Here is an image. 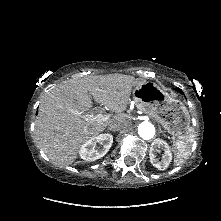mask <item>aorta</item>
<instances>
[{"label":"aorta","mask_w":221,"mask_h":221,"mask_svg":"<svg viewBox=\"0 0 221 221\" xmlns=\"http://www.w3.org/2000/svg\"><path fill=\"white\" fill-rule=\"evenodd\" d=\"M138 134L144 140H150L154 137L155 128L153 124H151L150 122H147V121L142 122L138 126Z\"/></svg>","instance_id":"obj_1"}]
</instances>
